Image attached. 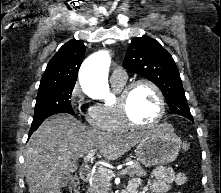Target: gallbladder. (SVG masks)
<instances>
[{
    "label": "gallbladder",
    "instance_id": "bac80fb5",
    "mask_svg": "<svg viewBox=\"0 0 221 193\" xmlns=\"http://www.w3.org/2000/svg\"><path fill=\"white\" fill-rule=\"evenodd\" d=\"M70 179H71V175L65 176V177L61 180V186H62V187L67 186V184L69 183Z\"/></svg>",
    "mask_w": 221,
    "mask_h": 193
}]
</instances>
